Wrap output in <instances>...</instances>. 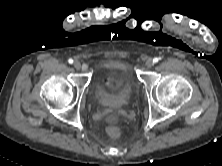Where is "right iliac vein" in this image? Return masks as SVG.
I'll return each instance as SVG.
<instances>
[{
  "label": "right iliac vein",
  "mask_w": 222,
  "mask_h": 166,
  "mask_svg": "<svg viewBox=\"0 0 222 166\" xmlns=\"http://www.w3.org/2000/svg\"><path fill=\"white\" fill-rule=\"evenodd\" d=\"M74 68L79 70L81 68V63L79 61L74 62Z\"/></svg>",
  "instance_id": "63e3f726"
}]
</instances>
